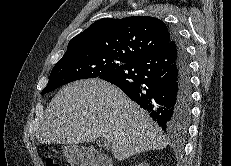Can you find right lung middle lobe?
Instances as JSON below:
<instances>
[{"label": "right lung middle lobe", "mask_w": 231, "mask_h": 166, "mask_svg": "<svg viewBox=\"0 0 231 166\" xmlns=\"http://www.w3.org/2000/svg\"><path fill=\"white\" fill-rule=\"evenodd\" d=\"M128 62L120 57L90 50L65 54L52 69L42 95L76 80L99 77Z\"/></svg>", "instance_id": "dd1d6c3e"}]
</instances>
